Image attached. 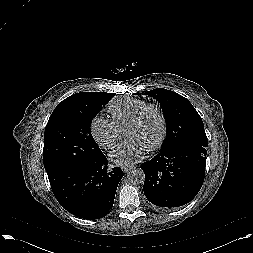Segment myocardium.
Here are the masks:
<instances>
[{"label": "myocardium", "instance_id": "1", "mask_svg": "<svg viewBox=\"0 0 253 253\" xmlns=\"http://www.w3.org/2000/svg\"><path fill=\"white\" fill-rule=\"evenodd\" d=\"M150 109L156 110L159 117H160V131H159L158 138H157L156 142L151 147H149L147 149L148 152H153L161 146V144L163 143L164 137H165V133H166V117H165L164 111L160 105L154 104V103L145 104L131 118V120L126 125V129L135 126L140 121V119L142 118L144 113H146Z\"/></svg>", "mask_w": 253, "mask_h": 253}]
</instances>
